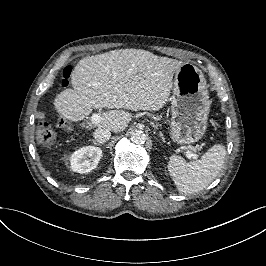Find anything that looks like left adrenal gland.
Instances as JSON below:
<instances>
[{
	"instance_id": "obj_1",
	"label": "left adrenal gland",
	"mask_w": 266,
	"mask_h": 266,
	"mask_svg": "<svg viewBox=\"0 0 266 266\" xmlns=\"http://www.w3.org/2000/svg\"><path fill=\"white\" fill-rule=\"evenodd\" d=\"M160 137H161L162 139H164V136H163V134H161V133H160Z\"/></svg>"
}]
</instances>
